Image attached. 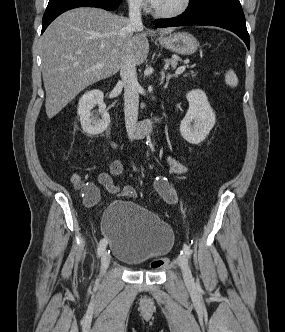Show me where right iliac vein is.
I'll return each instance as SVG.
<instances>
[{
  "label": "right iliac vein",
  "instance_id": "right-iliac-vein-1",
  "mask_svg": "<svg viewBox=\"0 0 285 332\" xmlns=\"http://www.w3.org/2000/svg\"><path fill=\"white\" fill-rule=\"evenodd\" d=\"M110 264V256L106 250L103 251L101 256V273H104Z\"/></svg>",
  "mask_w": 285,
  "mask_h": 332
}]
</instances>
